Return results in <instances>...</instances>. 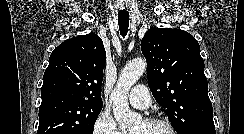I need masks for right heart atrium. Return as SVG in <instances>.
<instances>
[{
  "label": "right heart atrium",
  "instance_id": "right-heart-atrium-1",
  "mask_svg": "<svg viewBox=\"0 0 244 134\" xmlns=\"http://www.w3.org/2000/svg\"><path fill=\"white\" fill-rule=\"evenodd\" d=\"M92 134H123L115 119L107 111H102L94 121Z\"/></svg>",
  "mask_w": 244,
  "mask_h": 134
}]
</instances>
